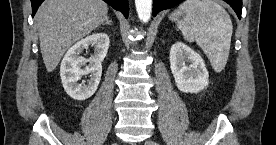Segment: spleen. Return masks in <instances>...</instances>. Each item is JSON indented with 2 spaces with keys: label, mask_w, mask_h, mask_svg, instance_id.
<instances>
[{
  "label": "spleen",
  "mask_w": 276,
  "mask_h": 145,
  "mask_svg": "<svg viewBox=\"0 0 276 145\" xmlns=\"http://www.w3.org/2000/svg\"><path fill=\"white\" fill-rule=\"evenodd\" d=\"M185 14L184 18H178ZM183 37L196 42L207 55L215 72L226 66L231 37L232 21L225 9L213 0H187L172 13Z\"/></svg>",
  "instance_id": "obj_1"
}]
</instances>
